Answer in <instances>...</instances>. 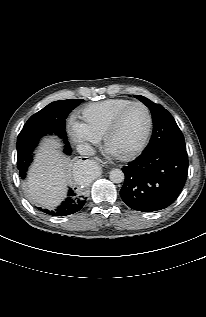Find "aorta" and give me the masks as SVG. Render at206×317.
Wrapping results in <instances>:
<instances>
[{
    "mask_svg": "<svg viewBox=\"0 0 206 317\" xmlns=\"http://www.w3.org/2000/svg\"><path fill=\"white\" fill-rule=\"evenodd\" d=\"M99 167L94 162H85L77 171V177L81 181H89L98 175ZM124 173L121 169H113L109 173V178L113 183L124 181Z\"/></svg>",
    "mask_w": 206,
    "mask_h": 317,
    "instance_id": "aorta-1",
    "label": "aorta"
}]
</instances>
